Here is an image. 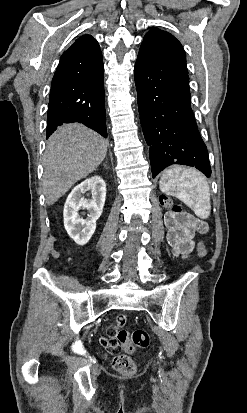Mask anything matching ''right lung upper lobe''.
<instances>
[{
  "label": "right lung upper lobe",
  "instance_id": "1",
  "mask_svg": "<svg viewBox=\"0 0 247 413\" xmlns=\"http://www.w3.org/2000/svg\"><path fill=\"white\" fill-rule=\"evenodd\" d=\"M98 42L91 35L78 38L60 58L58 70H80L102 64Z\"/></svg>",
  "mask_w": 247,
  "mask_h": 413
}]
</instances>
